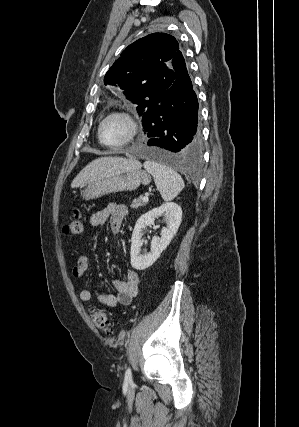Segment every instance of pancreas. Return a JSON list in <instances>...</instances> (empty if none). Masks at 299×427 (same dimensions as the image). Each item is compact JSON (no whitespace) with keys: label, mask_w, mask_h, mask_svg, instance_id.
Here are the masks:
<instances>
[{"label":"pancreas","mask_w":299,"mask_h":427,"mask_svg":"<svg viewBox=\"0 0 299 427\" xmlns=\"http://www.w3.org/2000/svg\"><path fill=\"white\" fill-rule=\"evenodd\" d=\"M145 203H146V202H143L142 198H141V197H139V198H137V199L133 200V202L131 203L130 207H131L132 209H137V208H139V207L143 206Z\"/></svg>","instance_id":"pancreas-1"}]
</instances>
